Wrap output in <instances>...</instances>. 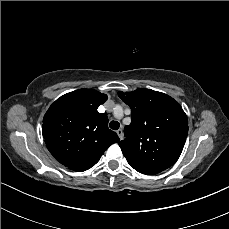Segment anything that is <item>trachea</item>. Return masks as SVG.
<instances>
[{"label": "trachea", "instance_id": "1", "mask_svg": "<svg viewBox=\"0 0 229 229\" xmlns=\"http://www.w3.org/2000/svg\"><path fill=\"white\" fill-rule=\"evenodd\" d=\"M109 127L112 129V130H117L120 128V123L117 122V121H111L109 123Z\"/></svg>", "mask_w": 229, "mask_h": 229}]
</instances>
